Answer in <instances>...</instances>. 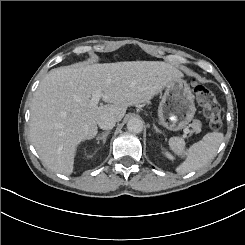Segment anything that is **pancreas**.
Masks as SVG:
<instances>
[{
  "label": "pancreas",
  "mask_w": 245,
  "mask_h": 245,
  "mask_svg": "<svg viewBox=\"0 0 245 245\" xmlns=\"http://www.w3.org/2000/svg\"><path fill=\"white\" fill-rule=\"evenodd\" d=\"M189 127L192 128L193 131H195L196 133L200 132V128L202 127V124L199 120H192L191 124L189 125Z\"/></svg>",
  "instance_id": "cf45deb5"
}]
</instances>
